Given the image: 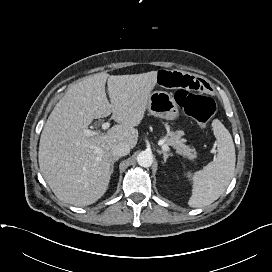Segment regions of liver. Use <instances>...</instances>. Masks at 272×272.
Here are the masks:
<instances>
[{"label": "liver", "mask_w": 272, "mask_h": 272, "mask_svg": "<svg viewBox=\"0 0 272 272\" xmlns=\"http://www.w3.org/2000/svg\"><path fill=\"white\" fill-rule=\"evenodd\" d=\"M157 75V71L112 76L101 72L68 88L45 123L38 153L40 171L59 200L82 207L105 194L111 149L118 143L136 146L135 127L144 118ZM111 113L117 125L97 136L84 134L94 119Z\"/></svg>", "instance_id": "1"}]
</instances>
